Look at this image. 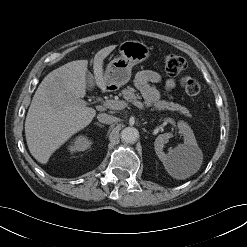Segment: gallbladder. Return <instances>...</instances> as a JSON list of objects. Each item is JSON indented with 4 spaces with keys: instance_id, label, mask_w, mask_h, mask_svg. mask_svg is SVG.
<instances>
[{
    "instance_id": "gallbladder-1",
    "label": "gallbladder",
    "mask_w": 247,
    "mask_h": 247,
    "mask_svg": "<svg viewBox=\"0 0 247 247\" xmlns=\"http://www.w3.org/2000/svg\"><path fill=\"white\" fill-rule=\"evenodd\" d=\"M86 79H87L88 86L91 87L93 85V79H92V76L89 73H87Z\"/></svg>"
}]
</instances>
